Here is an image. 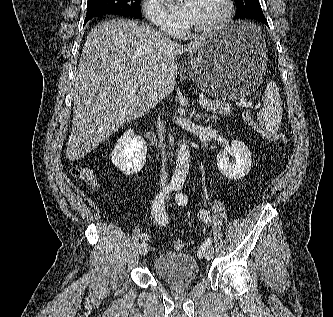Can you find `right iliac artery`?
Here are the masks:
<instances>
[{
    "label": "right iliac artery",
    "mask_w": 333,
    "mask_h": 317,
    "mask_svg": "<svg viewBox=\"0 0 333 317\" xmlns=\"http://www.w3.org/2000/svg\"><path fill=\"white\" fill-rule=\"evenodd\" d=\"M174 189V185L170 184L165 187L154 199L152 205V214L155 220L165 226L168 223L166 211H165V197L166 195ZM141 239L146 241L149 239V235L147 233H143L141 235Z\"/></svg>",
    "instance_id": "right-iliac-artery-1"
}]
</instances>
